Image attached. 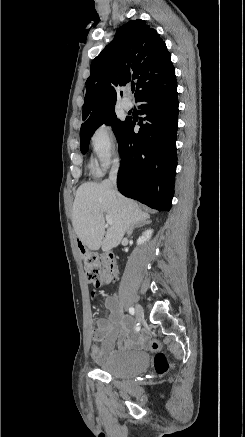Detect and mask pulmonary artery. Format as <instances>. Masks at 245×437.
<instances>
[{"label": "pulmonary artery", "mask_w": 245, "mask_h": 437, "mask_svg": "<svg viewBox=\"0 0 245 437\" xmlns=\"http://www.w3.org/2000/svg\"><path fill=\"white\" fill-rule=\"evenodd\" d=\"M121 106L125 110H130L132 108L133 104L129 98L125 97L121 100Z\"/></svg>", "instance_id": "1"}]
</instances>
